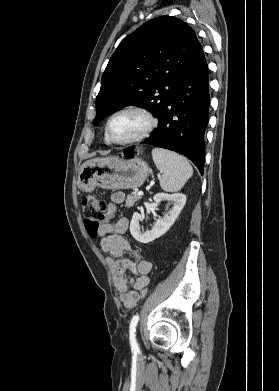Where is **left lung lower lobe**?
Instances as JSON below:
<instances>
[{
    "mask_svg": "<svg viewBox=\"0 0 279 391\" xmlns=\"http://www.w3.org/2000/svg\"><path fill=\"white\" fill-rule=\"evenodd\" d=\"M208 82V66L202 52L165 104L158 127L143 142L186 156L201 174L204 170V134L209 121Z\"/></svg>",
    "mask_w": 279,
    "mask_h": 391,
    "instance_id": "obj_1",
    "label": "left lung lower lobe"
}]
</instances>
